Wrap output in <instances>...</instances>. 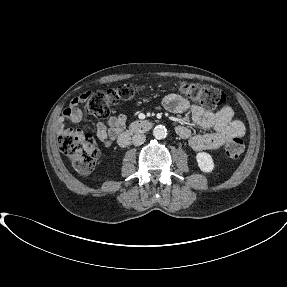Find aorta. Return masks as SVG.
<instances>
[{"mask_svg": "<svg viewBox=\"0 0 287 287\" xmlns=\"http://www.w3.org/2000/svg\"><path fill=\"white\" fill-rule=\"evenodd\" d=\"M153 136L156 139H164L167 136V129L165 126L158 125L153 129Z\"/></svg>", "mask_w": 287, "mask_h": 287, "instance_id": "obj_1", "label": "aorta"}]
</instances>
